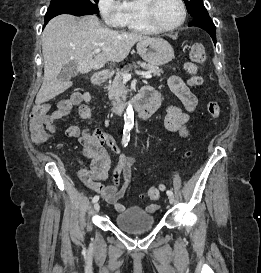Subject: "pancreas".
Here are the masks:
<instances>
[{
	"label": "pancreas",
	"instance_id": "cf45deb5",
	"mask_svg": "<svg viewBox=\"0 0 261 273\" xmlns=\"http://www.w3.org/2000/svg\"><path fill=\"white\" fill-rule=\"evenodd\" d=\"M139 66L156 76H160L163 72L162 69L156 65H151L140 61L133 63V65L124 66L120 71L116 72L113 81H110L109 86L107 87L109 100L113 105L121 103L126 96V88L122 84L123 74L129 73V71H131L133 68H138Z\"/></svg>",
	"mask_w": 261,
	"mask_h": 273
}]
</instances>
